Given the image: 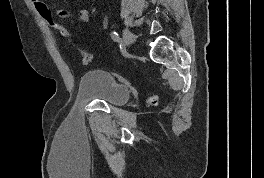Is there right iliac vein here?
<instances>
[{"mask_svg":"<svg viewBox=\"0 0 264 178\" xmlns=\"http://www.w3.org/2000/svg\"><path fill=\"white\" fill-rule=\"evenodd\" d=\"M123 39H124L126 45L133 44L134 43V40H135L133 33L129 29H127V28H125L123 30Z\"/></svg>","mask_w":264,"mask_h":178,"instance_id":"1","label":"right iliac vein"}]
</instances>
